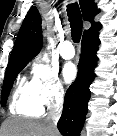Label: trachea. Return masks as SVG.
Here are the masks:
<instances>
[{
  "label": "trachea",
  "instance_id": "1",
  "mask_svg": "<svg viewBox=\"0 0 117 136\" xmlns=\"http://www.w3.org/2000/svg\"><path fill=\"white\" fill-rule=\"evenodd\" d=\"M67 15L71 26V36L75 43L80 42L82 35V16L77 3L67 5Z\"/></svg>",
  "mask_w": 117,
  "mask_h": 136
}]
</instances>
